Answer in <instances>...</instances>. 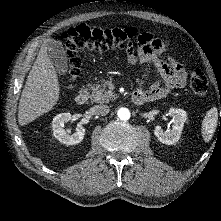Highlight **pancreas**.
<instances>
[{"label":"pancreas","instance_id":"obj_1","mask_svg":"<svg viewBox=\"0 0 221 221\" xmlns=\"http://www.w3.org/2000/svg\"><path fill=\"white\" fill-rule=\"evenodd\" d=\"M87 87L90 91L89 98L92 103H108L116 96L112 91L105 89L106 85L104 84V82L88 84Z\"/></svg>","mask_w":221,"mask_h":221}]
</instances>
